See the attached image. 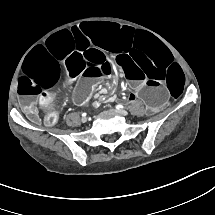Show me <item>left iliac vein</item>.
<instances>
[{
  "label": "left iliac vein",
  "instance_id": "obj_1",
  "mask_svg": "<svg viewBox=\"0 0 215 215\" xmlns=\"http://www.w3.org/2000/svg\"><path fill=\"white\" fill-rule=\"evenodd\" d=\"M117 112L119 114H121L122 116H126L128 114V112L126 110H124V109H118Z\"/></svg>",
  "mask_w": 215,
  "mask_h": 215
}]
</instances>
